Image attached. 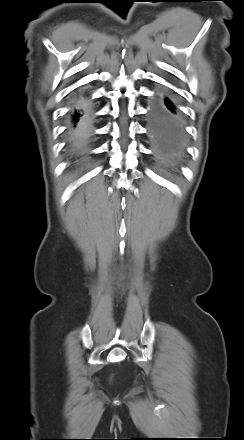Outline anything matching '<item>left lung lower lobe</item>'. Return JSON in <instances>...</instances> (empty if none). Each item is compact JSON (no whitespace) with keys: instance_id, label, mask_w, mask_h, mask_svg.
I'll use <instances>...</instances> for the list:
<instances>
[{"instance_id":"left-lung-lower-lobe-1","label":"left lung lower lobe","mask_w":244,"mask_h":440,"mask_svg":"<svg viewBox=\"0 0 244 440\" xmlns=\"http://www.w3.org/2000/svg\"><path fill=\"white\" fill-rule=\"evenodd\" d=\"M148 135L165 163L176 164V156L186 147L185 121L174 98L158 93L148 111Z\"/></svg>"}]
</instances>
